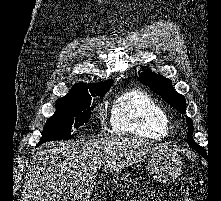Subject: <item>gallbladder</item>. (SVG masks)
<instances>
[{
  "mask_svg": "<svg viewBox=\"0 0 221 201\" xmlns=\"http://www.w3.org/2000/svg\"><path fill=\"white\" fill-rule=\"evenodd\" d=\"M74 195V187L70 184H66L59 188L57 198L61 201H68Z\"/></svg>",
  "mask_w": 221,
  "mask_h": 201,
  "instance_id": "gallbladder-1",
  "label": "gallbladder"
}]
</instances>
